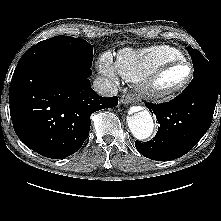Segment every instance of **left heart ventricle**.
Returning <instances> with one entry per match:
<instances>
[{
    "label": "left heart ventricle",
    "mask_w": 221,
    "mask_h": 221,
    "mask_svg": "<svg viewBox=\"0 0 221 221\" xmlns=\"http://www.w3.org/2000/svg\"><path fill=\"white\" fill-rule=\"evenodd\" d=\"M189 75L187 66H178L165 73L160 79V85L164 88L174 87L184 82Z\"/></svg>",
    "instance_id": "obj_1"
}]
</instances>
